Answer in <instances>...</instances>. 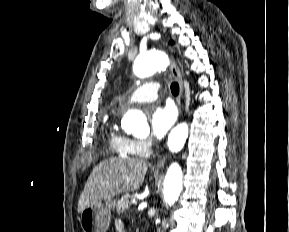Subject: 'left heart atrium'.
I'll list each match as a JSON object with an SVG mask.
<instances>
[{"mask_svg":"<svg viewBox=\"0 0 289 232\" xmlns=\"http://www.w3.org/2000/svg\"><path fill=\"white\" fill-rule=\"evenodd\" d=\"M176 120V111L170 106H157L153 109L150 117V127L152 135L157 138H163Z\"/></svg>","mask_w":289,"mask_h":232,"instance_id":"1","label":"left heart atrium"}]
</instances>
